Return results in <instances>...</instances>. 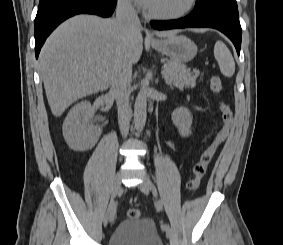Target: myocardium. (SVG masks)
Returning <instances> with one entry per match:
<instances>
[{"label": "myocardium", "instance_id": "obj_1", "mask_svg": "<svg viewBox=\"0 0 283 245\" xmlns=\"http://www.w3.org/2000/svg\"><path fill=\"white\" fill-rule=\"evenodd\" d=\"M198 0H188L185 7L175 13H156L148 9L145 10L146 16L157 20H176L185 17L196 7Z\"/></svg>", "mask_w": 283, "mask_h": 245}]
</instances>
